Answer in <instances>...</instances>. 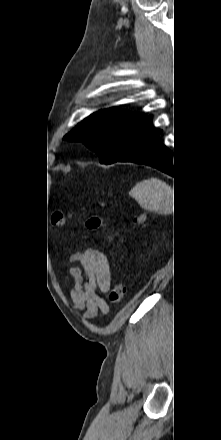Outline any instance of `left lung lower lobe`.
Returning <instances> with one entry per match:
<instances>
[{
  "mask_svg": "<svg viewBox=\"0 0 221 440\" xmlns=\"http://www.w3.org/2000/svg\"><path fill=\"white\" fill-rule=\"evenodd\" d=\"M160 133L161 130L152 125V116H145L134 130L125 153L116 162L145 164L176 177L178 169L172 163L170 150L159 142Z\"/></svg>",
  "mask_w": 221,
  "mask_h": 440,
  "instance_id": "0a47b994",
  "label": "left lung lower lobe"
}]
</instances>
